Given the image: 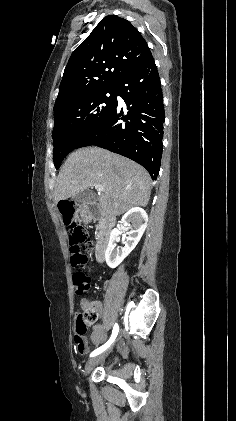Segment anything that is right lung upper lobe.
Here are the masks:
<instances>
[{
  "instance_id": "right-lung-upper-lobe-1",
  "label": "right lung upper lobe",
  "mask_w": 236,
  "mask_h": 421,
  "mask_svg": "<svg viewBox=\"0 0 236 421\" xmlns=\"http://www.w3.org/2000/svg\"><path fill=\"white\" fill-rule=\"evenodd\" d=\"M140 32L126 19H102L72 53L60 84L54 110L76 97L115 88L130 69L151 57Z\"/></svg>"
}]
</instances>
